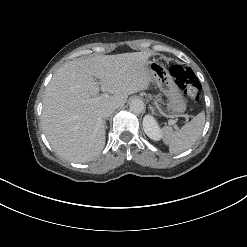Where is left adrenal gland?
I'll return each mask as SVG.
<instances>
[{"label":"left adrenal gland","instance_id":"1","mask_svg":"<svg viewBox=\"0 0 247 247\" xmlns=\"http://www.w3.org/2000/svg\"><path fill=\"white\" fill-rule=\"evenodd\" d=\"M151 111L153 112V108L150 106Z\"/></svg>","mask_w":247,"mask_h":247}]
</instances>
